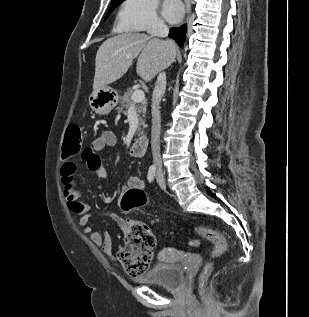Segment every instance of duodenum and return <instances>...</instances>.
Returning a JSON list of instances; mask_svg holds the SVG:
<instances>
[{"instance_id":"1","label":"duodenum","mask_w":309,"mask_h":317,"mask_svg":"<svg viewBox=\"0 0 309 317\" xmlns=\"http://www.w3.org/2000/svg\"><path fill=\"white\" fill-rule=\"evenodd\" d=\"M147 137L145 135L139 136L129 149V153L133 157H142L144 156L147 149Z\"/></svg>"}]
</instances>
